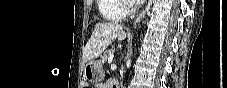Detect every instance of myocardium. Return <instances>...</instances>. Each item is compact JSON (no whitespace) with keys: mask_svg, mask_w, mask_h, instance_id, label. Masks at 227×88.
<instances>
[{"mask_svg":"<svg viewBox=\"0 0 227 88\" xmlns=\"http://www.w3.org/2000/svg\"><path fill=\"white\" fill-rule=\"evenodd\" d=\"M124 9L127 13H133L135 11V8L133 6V4L131 3V1L126 0L124 3Z\"/></svg>","mask_w":227,"mask_h":88,"instance_id":"f54148a6","label":"myocardium"}]
</instances>
